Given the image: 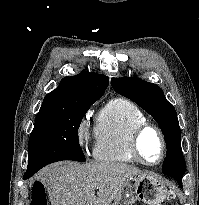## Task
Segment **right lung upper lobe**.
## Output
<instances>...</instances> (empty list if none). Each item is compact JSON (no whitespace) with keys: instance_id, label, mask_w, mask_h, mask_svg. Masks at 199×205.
Instances as JSON below:
<instances>
[{"instance_id":"cb5924a9","label":"right lung upper lobe","mask_w":199,"mask_h":205,"mask_svg":"<svg viewBox=\"0 0 199 205\" xmlns=\"http://www.w3.org/2000/svg\"><path fill=\"white\" fill-rule=\"evenodd\" d=\"M108 83L107 76L94 72L64 77L59 86L45 96L40 111L86 99H99Z\"/></svg>"}]
</instances>
